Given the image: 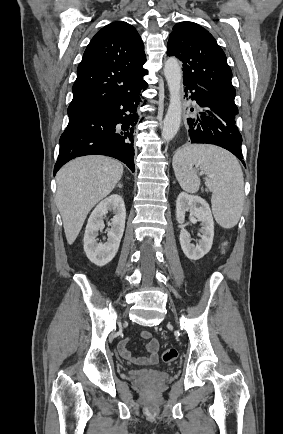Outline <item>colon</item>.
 Masks as SVG:
<instances>
[{
	"mask_svg": "<svg viewBox=\"0 0 283 434\" xmlns=\"http://www.w3.org/2000/svg\"><path fill=\"white\" fill-rule=\"evenodd\" d=\"M226 248V243L224 244V249ZM178 352L176 349L170 348L163 352L162 359L166 363H171L177 359Z\"/></svg>",
	"mask_w": 283,
	"mask_h": 434,
	"instance_id": "1",
	"label": "colon"
}]
</instances>
